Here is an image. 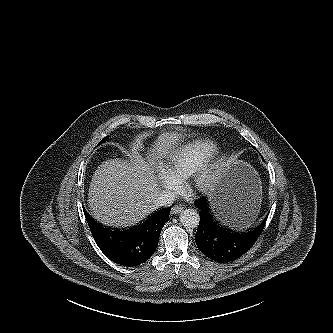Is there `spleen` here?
I'll return each instance as SVG.
<instances>
[{"mask_svg":"<svg viewBox=\"0 0 333 333\" xmlns=\"http://www.w3.org/2000/svg\"><path fill=\"white\" fill-rule=\"evenodd\" d=\"M259 208L251 210V212L242 219H234L233 221L230 222V224L237 228H246L250 226L256 219L259 213Z\"/></svg>","mask_w":333,"mask_h":333,"instance_id":"1","label":"spleen"}]
</instances>
